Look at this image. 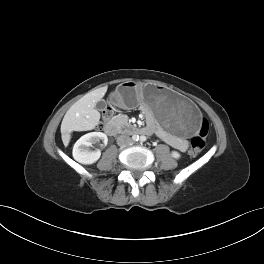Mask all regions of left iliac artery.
<instances>
[{
  "label": "left iliac artery",
  "mask_w": 264,
  "mask_h": 264,
  "mask_svg": "<svg viewBox=\"0 0 264 264\" xmlns=\"http://www.w3.org/2000/svg\"><path fill=\"white\" fill-rule=\"evenodd\" d=\"M146 140H147L146 136H143V135H142V136L140 137V142H141V143L145 142Z\"/></svg>",
  "instance_id": "left-iliac-artery-1"
}]
</instances>
